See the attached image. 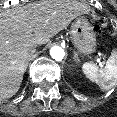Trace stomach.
<instances>
[{
    "instance_id": "obj_1",
    "label": "stomach",
    "mask_w": 117,
    "mask_h": 117,
    "mask_svg": "<svg viewBox=\"0 0 117 117\" xmlns=\"http://www.w3.org/2000/svg\"><path fill=\"white\" fill-rule=\"evenodd\" d=\"M71 40L82 54H90L96 49V38L92 26L83 16L77 17L71 24Z\"/></svg>"
}]
</instances>
